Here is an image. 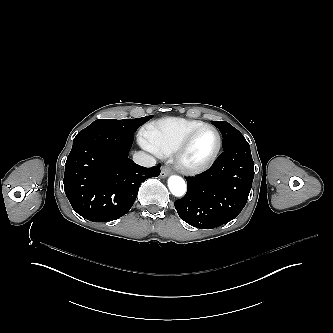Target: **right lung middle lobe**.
<instances>
[{"mask_svg": "<svg viewBox=\"0 0 333 333\" xmlns=\"http://www.w3.org/2000/svg\"><path fill=\"white\" fill-rule=\"evenodd\" d=\"M152 116H146L136 119H98L90 124L84 131L102 129L106 131H111L123 135H128L134 137L135 131L139 126L150 120Z\"/></svg>", "mask_w": 333, "mask_h": 333, "instance_id": "dd1d6c3e", "label": "right lung middle lobe"}]
</instances>
